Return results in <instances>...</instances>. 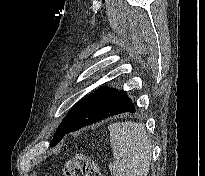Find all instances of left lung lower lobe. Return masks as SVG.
I'll list each match as a JSON object with an SVG mask.
<instances>
[{"label": "left lung lower lobe", "mask_w": 205, "mask_h": 176, "mask_svg": "<svg viewBox=\"0 0 205 176\" xmlns=\"http://www.w3.org/2000/svg\"><path fill=\"white\" fill-rule=\"evenodd\" d=\"M127 112L134 113L135 107L124 91L101 87L81 101L64 136L110 116Z\"/></svg>", "instance_id": "0a47b994"}]
</instances>
